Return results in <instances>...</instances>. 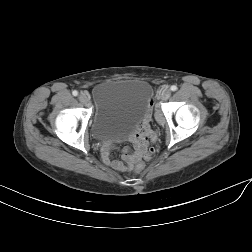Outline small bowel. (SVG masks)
<instances>
[{"label":"small bowel","instance_id":"1","mask_svg":"<svg viewBox=\"0 0 252 252\" xmlns=\"http://www.w3.org/2000/svg\"><path fill=\"white\" fill-rule=\"evenodd\" d=\"M150 130L144 124H138L131 133L129 140L132 143L133 151L123 149L121 160L111 158L108 150L103 152L105 163L113 169L124 171L133 167L142 157L146 158V150L149 144Z\"/></svg>","mask_w":252,"mask_h":252}]
</instances>
